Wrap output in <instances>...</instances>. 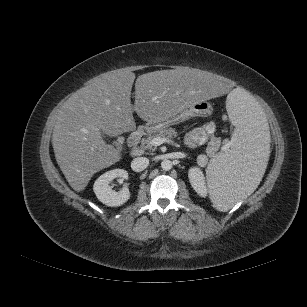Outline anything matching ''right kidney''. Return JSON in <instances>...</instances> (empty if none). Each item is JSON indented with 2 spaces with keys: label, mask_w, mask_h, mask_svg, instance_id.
Segmentation results:
<instances>
[{
  "label": "right kidney",
  "mask_w": 307,
  "mask_h": 307,
  "mask_svg": "<svg viewBox=\"0 0 307 307\" xmlns=\"http://www.w3.org/2000/svg\"><path fill=\"white\" fill-rule=\"evenodd\" d=\"M115 178L128 179V172L124 169L107 171L95 181L93 186L98 200L110 207L121 206L130 198V192L126 185L119 192L112 190L109 184Z\"/></svg>",
  "instance_id": "obj_1"
}]
</instances>
